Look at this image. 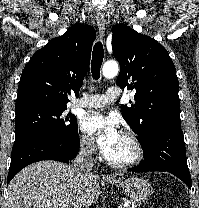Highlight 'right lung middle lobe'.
<instances>
[{"label": "right lung middle lobe", "instance_id": "dd1d6c3e", "mask_svg": "<svg viewBox=\"0 0 199 208\" xmlns=\"http://www.w3.org/2000/svg\"><path fill=\"white\" fill-rule=\"evenodd\" d=\"M65 110L66 108L51 107L16 110L15 142L38 135L56 139L73 137L78 131L77 120L72 114L66 115Z\"/></svg>", "mask_w": 199, "mask_h": 208}]
</instances>
